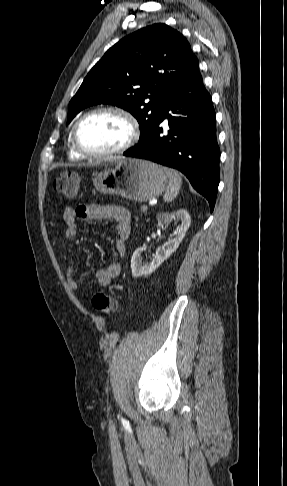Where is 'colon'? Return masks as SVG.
<instances>
[{"label":"colon","mask_w":287,"mask_h":486,"mask_svg":"<svg viewBox=\"0 0 287 486\" xmlns=\"http://www.w3.org/2000/svg\"><path fill=\"white\" fill-rule=\"evenodd\" d=\"M53 190L64 197L71 198L80 190V178L72 172H64L53 180ZM93 307L104 316H112L118 308L117 301L105 292H97L92 298Z\"/></svg>","instance_id":"5ec220e1"}]
</instances>
